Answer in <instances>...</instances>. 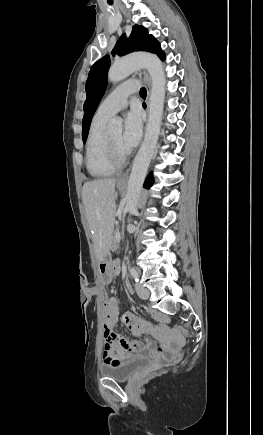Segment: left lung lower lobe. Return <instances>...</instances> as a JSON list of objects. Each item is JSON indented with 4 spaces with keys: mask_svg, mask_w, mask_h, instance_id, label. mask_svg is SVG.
Here are the masks:
<instances>
[{
    "mask_svg": "<svg viewBox=\"0 0 263 435\" xmlns=\"http://www.w3.org/2000/svg\"><path fill=\"white\" fill-rule=\"evenodd\" d=\"M152 183H153V177H152V175H150V176H148V178H147V180H146V182L144 184V187L145 188H150Z\"/></svg>",
    "mask_w": 263,
    "mask_h": 435,
    "instance_id": "0a47b994",
    "label": "left lung lower lobe"
}]
</instances>
